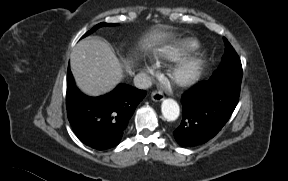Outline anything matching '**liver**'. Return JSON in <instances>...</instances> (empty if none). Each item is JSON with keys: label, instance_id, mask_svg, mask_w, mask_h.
Listing matches in <instances>:
<instances>
[{"label": "liver", "instance_id": "obj_1", "mask_svg": "<svg viewBox=\"0 0 288 181\" xmlns=\"http://www.w3.org/2000/svg\"><path fill=\"white\" fill-rule=\"evenodd\" d=\"M173 38L170 32L154 29L145 39L144 47L150 48ZM70 67L78 88L91 96L112 90L123 78V65L109 44L94 37L85 38L74 47ZM126 69L131 72L129 65Z\"/></svg>", "mask_w": 288, "mask_h": 181}]
</instances>
